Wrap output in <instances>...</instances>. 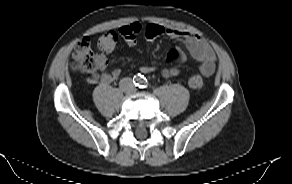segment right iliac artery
<instances>
[{
  "mask_svg": "<svg viewBox=\"0 0 292 184\" xmlns=\"http://www.w3.org/2000/svg\"><path fill=\"white\" fill-rule=\"evenodd\" d=\"M139 84H140L139 82H138V83H136V85H138V86H139Z\"/></svg>",
  "mask_w": 292,
  "mask_h": 184,
  "instance_id": "1",
  "label": "right iliac artery"
}]
</instances>
